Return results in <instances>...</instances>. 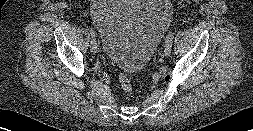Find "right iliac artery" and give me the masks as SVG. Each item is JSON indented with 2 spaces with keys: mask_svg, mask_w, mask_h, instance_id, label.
<instances>
[{
  "mask_svg": "<svg viewBox=\"0 0 253 131\" xmlns=\"http://www.w3.org/2000/svg\"><path fill=\"white\" fill-rule=\"evenodd\" d=\"M88 30H90V34H91V36L93 37L94 31L92 30V28H88ZM89 44H90L91 46H94V45L96 44V41H95L94 39H91V40L89 41Z\"/></svg>",
  "mask_w": 253,
  "mask_h": 131,
  "instance_id": "82829eb1",
  "label": "right iliac artery"
}]
</instances>
